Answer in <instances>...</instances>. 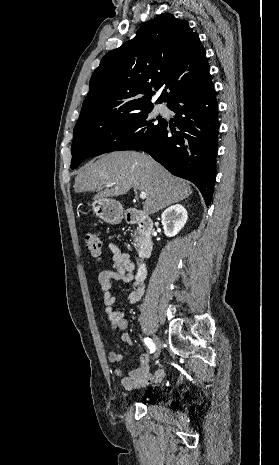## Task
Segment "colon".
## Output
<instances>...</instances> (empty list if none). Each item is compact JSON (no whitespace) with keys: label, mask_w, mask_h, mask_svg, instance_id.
<instances>
[{"label":"colon","mask_w":279,"mask_h":465,"mask_svg":"<svg viewBox=\"0 0 279 465\" xmlns=\"http://www.w3.org/2000/svg\"><path fill=\"white\" fill-rule=\"evenodd\" d=\"M85 245L93 257L99 258L101 256L102 240L98 233H88L85 237Z\"/></svg>","instance_id":"colon-1"}]
</instances>
